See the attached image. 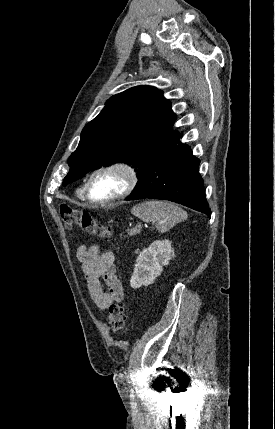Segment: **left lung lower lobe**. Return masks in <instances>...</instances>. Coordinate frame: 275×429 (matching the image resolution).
I'll use <instances>...</instances> for the list:
<instances>
[{"mask_svg": "<svg viewBox=\"0 0 275 429\" xmlns=\"http://www.w3.org/2000/svg\"><path fill=\"white\" fill-rule=\"evenodd\" d=\"M178 133L152 158L135 189L126 200L162 199L179 203L211 216L205 198L200 161Z\"/></svg>", "mask_w": 275, "mask_h": 429, "instance_id": "1", "label": "left lung lower lobe"}]
</instances>
